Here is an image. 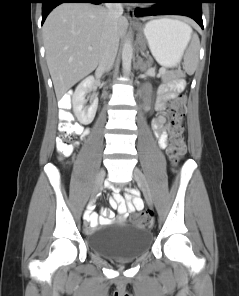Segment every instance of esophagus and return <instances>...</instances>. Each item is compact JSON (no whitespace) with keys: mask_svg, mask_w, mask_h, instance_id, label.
I'll return each mask as SVG.
<instances>
[{"mask_svg":"<svg viewBox=\"0 0 239 296\" xmlns=\"http://www.w3.org/2000/svg\"><path fill=\"white\" fill-rule=\"evenodd\" d=\"M128 18H129L130 20H133V19L135 18V17H134V10L131 9V8L128 9Z\"/></svg>","mask_w":239,"mask_h":296,"instance_id":"esophagus-1","label":"esophagus"}]
</instances>
